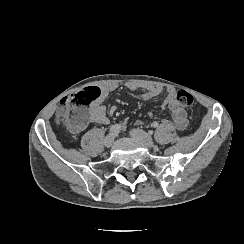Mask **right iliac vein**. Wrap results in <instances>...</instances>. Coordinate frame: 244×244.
<instances>
[{"instance_id":"right-iliac-vein-1","label":"right iliac vein","mask_w":244,"mask_h":244,"mask_svg":"<svg viewBox=\"0 0 244 244\" xmlns=\"http://www.w3.org/2000/svg\"><path fill=\"white\" fill-rule=\"evenodd\" d=\"M113 142H114V136H113V134H111V135H108V136L105 138V140H104V145H105L107 148H109V147L112 146Z\"/></svg>"}]
</instances>
